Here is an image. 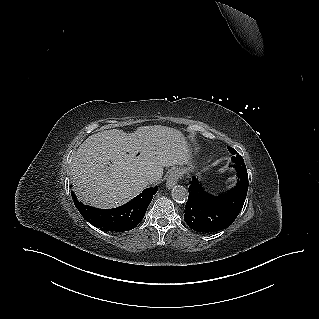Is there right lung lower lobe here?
Returning <instances> with one entry per match:
<instances>
[{"instance_id":"right-lung-lower-lobe-1","label":"right lung lower lobe","mask_w":319,"mask_h":319,"mask_svg":"<svg viewBox=\"0 0 319 319\" xmlns=\"http://www.w3.org/2000/svg\"><path fill=\"white\" fill-rule=\"evenodd\" d=\"M157 190V186L147 188L125 205L108 210L84 205L73 192L71 194L75 206L89 223L106 231L124 232L135 228L142 221Z\"/></svg>"}]
</instances>
